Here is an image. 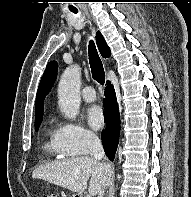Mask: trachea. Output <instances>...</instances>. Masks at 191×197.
<instances>
[{
	"label": "trachea",
	"mask_w": 191,
	"mask_h": 197,
	"mask_svg": "<svg viewBox=\"0 0 191 197\" xmlns=\"http://www.w3.org/2000/svg\"><path fill=\"white\" fill-rule=\"evenodd\" d=\"M88 53L93 79L101 85H103L105 82V72L102 61L99 57V54L93 41H90L89 43Z\"/></svg>",
	"instance_id": "1"
}]
</instances>
